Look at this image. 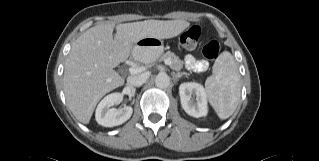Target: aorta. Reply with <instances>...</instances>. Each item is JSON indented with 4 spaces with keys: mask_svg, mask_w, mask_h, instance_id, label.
<instances>
[{
    "mask_svg": "<svg viewBox=\"0 0 319 161\" xmlns=\"http://www.w3.org/2000/svg\"><path fill=\"white\" fill-rule=\"evenodd\" d=\"M155 84L158 88L160 89H165L169 86L170 84V78L167 74L165 73H160L156 76L155 79Z\"/></svg>",
    "mask_w": 319,
    "mask_h": 161,
    "instance_id": "1",
    "label": "aorta"
}]
</instances>
